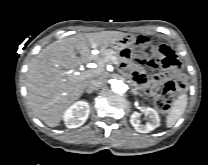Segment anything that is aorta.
I'll return each mask as SVG.
<instances>
[{"mask_svg": "<svg viewBox=\"0 0 208 165\" xmlns=\"http://www.w3.org/2000/svg\"><path fill=\"white\" fill-rule=\"evenodd\" d=\"M111 87H112L113 92L118 93V94H122L126 92V89H127L126 84L122 82L121 80L114 81Z\"/></svg>", "mask_w": 208, "mask_h": 165, "instance_id": "1", "label": "aorta"}]
</instances>
